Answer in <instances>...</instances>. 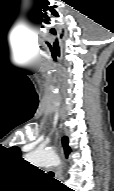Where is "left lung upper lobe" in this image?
<instances>
[{
  "label": "left lung upper lobe",
  "mask_w": 114,
  "mask_h": 191,
  "mask_svg": "<svg viewBox=\"0 0 114 191\" xmlns=\"http://www.w3.org/2000/svg\"><path fill=\"white\" fill-rule=\"evenodd\" d=\"M62 144H63V147H64V150H65V155L66 157L69 155V153L71 152V149L69 148L68 146V138L67 137H63L62 138ZM11 150L17 154V156L20 155V150L18 147H12Z\"/></svg>",
  "instance_id": "obj_1"
}]
</instances>
